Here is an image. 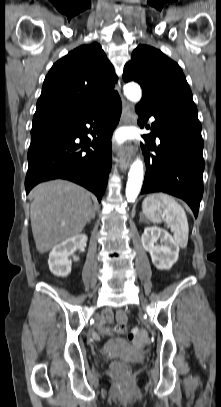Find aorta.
I'll list each match as a JSON object with an SVG mask.
<instances>
[{
    "instance_id": "1",
    "label": "aorta",
    "mask_w": 221,
    "mask_h": 407,
    "mask_svg": "<svg viewBox=\"0 0 221 407\" xmlns=\"http://www.w3.org/2000/svg\"><path fill=\"white\" fill-rule=\"evenodd\" d=\"M124 94L132 102H139L142 96L140 86L136 83H128L124 86ZM143 183V163L137 158L130 167L126 186V197L129 202L137 198Z\"/></svg>"
}]
</instances>
